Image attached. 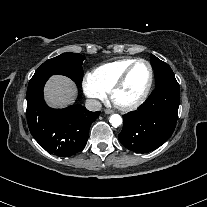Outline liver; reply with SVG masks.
<instances>
[{
  "mask_svg": "<svg viewBox=\"0 0 207 207\" xmlns=\"http://www.w3.org/2000/svg\"><path fill=\"white\" fill-rule=\"evenodd\" d=\"M46 103L53 108L71 105L76 98V87L68 77L54 75L50 77L44 88Z\"/></svg>",
  "mask_w": 207,
  "mask_h": 207,
  "instance_id": "obj_1",
  "label": "liver"
}]
</instances>
